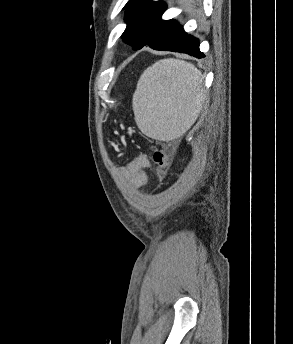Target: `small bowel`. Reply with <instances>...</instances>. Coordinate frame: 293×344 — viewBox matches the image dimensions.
I'll return each instance as SVG.
<instances>
[{"instance_id":"small-bowel-1","label":"small bowel","mask_w":293,"mask_h":344,"mask_svg":"<svg viewBox=\"0 0 293 344\" xmlns=\"http://www.w3.org/2000/svg\"><path fill=\"white\" fill-rule=\"evenodd\" d=\"M150 166L148 158L144 154L138 155L125 169V174L133 188H143L147 183L144 170Z\"/></svg>"}]
</instances>
